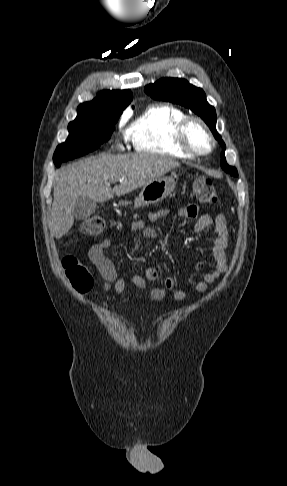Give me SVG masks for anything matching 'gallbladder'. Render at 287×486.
Segmentation results:
<instances>
[{
    "instance_id": "gallbladder-1",
    "label": "gallbladder",
    "mask_w": 287,
    "mask_h": 486,
    "mask_svg": "<svg viewBox=\"0 0 287 486\" xmlns=\"http://www.w3.org/2000/svg\"><path fill=\"white\" fill-rule=\"evenodd\" d=\"M96 201L89 197H79L73 207V214L77 220H85L95 213Z\"/></svg>"
}]
</instances>
